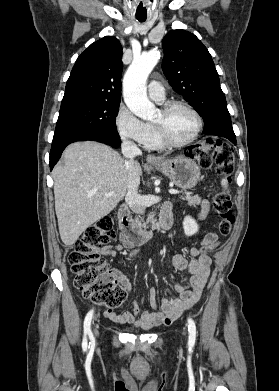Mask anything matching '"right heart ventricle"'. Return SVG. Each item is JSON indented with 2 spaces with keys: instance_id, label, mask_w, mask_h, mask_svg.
Segmentation results:
<instances>
[{
  "instance_id": "right-heart-ventricle-1",
  "label": "right heart ventricle",
  "mask_w": 279,
  "mask_h": 391,
  "mask_svg": "<svg viewBox=\"0 0 279 391\" xmlns=\"http://www.w3.org/2000/svg\"><path fill=\"white\" fill-rule=\"evenodd\" d=\"M147 125H148V129H149V133H148V137H147L146 141L144 142L145 147L148 149H154V150H159V149L164 148V146L161 144V142L159 141V139L157 137V134H156V131H155L153 125L152 124H147Z\"/></svg>"
}]
</instances>
